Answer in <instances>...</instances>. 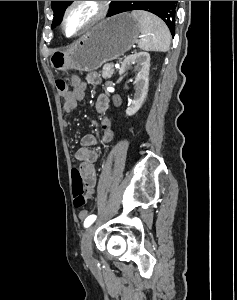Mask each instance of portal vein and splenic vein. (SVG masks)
<instances>
[{
    "mask_svg": "<svg viewBox=\"0 0 237 300\" xmlns=\"http://www.w3.org/2000/svg\"><path fill=\"white\" fill-rule=\"evenodd\" d=\"M109 64H110V65H109L108 67L111 69V68L113 67V66L111 65L112 63L110 62Z\"/></svg>",
    "mask_w": 237,
    "mask_h": 300,
    "instance_id": "portal-vein-and-splenic-vein-1",
    "label": "portal vein and splenic vein"
}]
</instances>
